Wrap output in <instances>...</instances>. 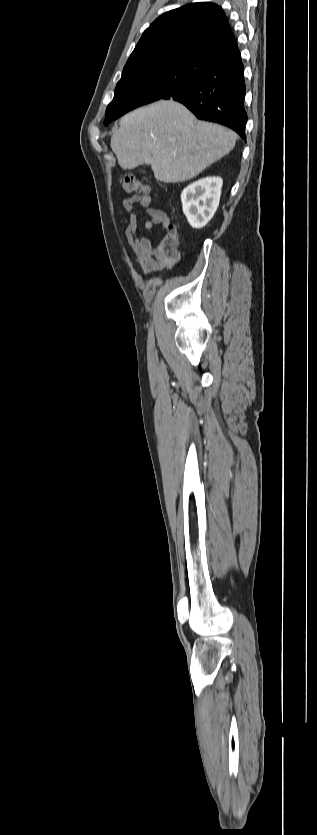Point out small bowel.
Wrapping results in <instances>:
<instances>
[{"instance_id": "small-bowel-1", "label": "small bowel", "mask_w": 317, "mask_h": 835, "mask_svg": "<svg viewBox=\"0 0 317 835\" xmlns=\"http://www.w3.org/2000/svg\"><path fill=\"white\" fill-rule=\"evenodd\" d=\"M138 205L145 209L148 218L143 226L146 230H152L154 226L161 225L164 228L170 224V218L159 207H152V198L147 194L134 195L124 200L123 207L129 213V219L125 227L127 242L137 258V263L146 273H157L171 269L174 259L166 258L159 250L153 247L151 240L146 236L138 234V218L133 212L134 206Z\"/></svg>"}]
</instances>
